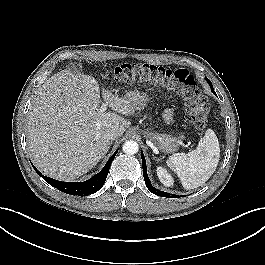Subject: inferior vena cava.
I'll return each instance as SVG.
<instances>
[{"instance_id": "obj_1", "label": "inferior vena cava", "mask_w": 265, "mask_h": 265, "mask_svg": "<svg viewBox=\"0 0 265 265\" xmlns=\"http://www.w3.org/2000/svg\"><path fill=\"white\" fill-rule=\"evenodd\" d=\"M106 137L110 140H113L118 137V134L115 131L110 130L106 133Z\"/></svg>"}]
</instances>
